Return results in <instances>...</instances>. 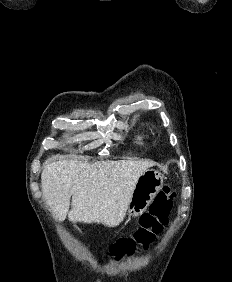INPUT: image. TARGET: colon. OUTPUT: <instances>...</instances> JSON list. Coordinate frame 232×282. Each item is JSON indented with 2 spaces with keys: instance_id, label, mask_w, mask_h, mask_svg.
Masks as SVG:
<instances>
[{
  "instance_id": "1",
  "label": "colon",
  "mask_w": 232,
  "mask_h": 282,
  "mask_svg": "<svg viewBox=\"0 0 232 282\" xmlns=\"http://www.w3.org/2000/svg\"><path fill=\"white\" fill-rule=\"evenodd\" d=\"M175 193L169 186L158 192L149 211L142 215L140 226L132 236L117 240L110 248L109 255L121 258L133 254L138 247L147 248L168 224Z\"/></svg>"
}]
</instances>
